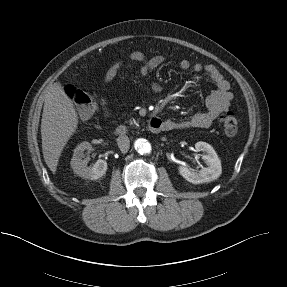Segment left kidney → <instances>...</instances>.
Listing matches in <instances>:
<instances>
[{
	"instance_id": "left-kidney-1",
	"label": "left kidney",
	"mask_w": 287,
	"mask_h": 287,
	"mask_svg": "<svg viewBox=\"0 0 287 287\" xmlns=\"http://www.w3.org/2000/svg\"><path fill=\"white\" fill-rule=\"evenodd\" d=\"M195 149L197 152H204L202 159L207 167H203L197 172L187 166H180V175L193 184L209 183L217 180L222 173V167L221 161L213 147L206 142L200 141L195 144Z\"/></svg>"
}]
</instances>
